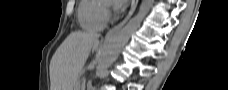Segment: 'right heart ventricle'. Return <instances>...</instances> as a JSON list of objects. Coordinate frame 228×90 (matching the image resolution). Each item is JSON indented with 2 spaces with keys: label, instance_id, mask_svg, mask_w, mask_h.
Returning <instances> with one entry per match:
<instances>
[{
  "label": "right heart ventricle",
  "instance_id": "obj_1",
  "mask_svg": "<svg viewBox=\"0 0 228 90\" xmlns=\"http://www.w3.org/2000/svg\"><path fill=\"white\" fill-rule=\"evenodd\" d=\"M104 1L83 0L78 9V20L84 29L101 31L106 21L102 16Z\"/></svg>",
  "mask_w": 228,
  "mask_h": 90
}]
</instances>
